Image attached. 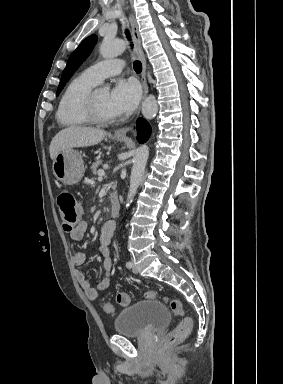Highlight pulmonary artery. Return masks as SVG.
<instances>
[{
    "instance_id": "pulmonary-artery-1",
    "label": "pulmonary artery",
    "mask_w": 283,
    "mask_h": 384,
    "mask_svg": "<svg viewBox=\"0 0 283 384\" xmlns=\"http://www.w3.org/2000/svg\"><path fill=\"white\" fill-rule=\"evenodd\" d=\"M126 70L124 61H101L86 69L85 73L93 82L99 83L108 76L118 75Z\"/></svg>"
}]
</instances>
